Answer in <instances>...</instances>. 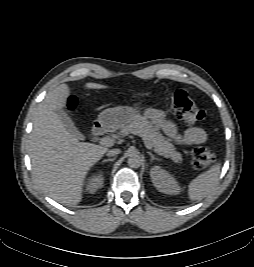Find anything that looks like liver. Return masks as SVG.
<instances>
[{
    "label": "liver",
    "mask_w": 254,
    "mask_h": 267,
    "mask_svg": "<svg viewBox=\"0 0 254 267\" xmlns=\"http://www.w3.org/2000/svg\"><path fill=\"white\" fill-rule=\"evenodd\" d=\"M87 89H105L98 83H86ZM70 90L60 84L49 91L33 117L29 157L36 183L52 199L67 206L82 200L85 177L107 148L79 142L70 133L55 110L66 106Z\"/></svg>",
    "instance_id": "obj_1"
}]
</instances>
